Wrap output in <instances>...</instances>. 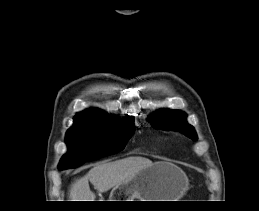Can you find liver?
Here are the masks:
<instances>
[{
  "label": "liver",
  "mask_w": 259,
  "mask_h": 211,
  "mask_svg": "<svg viewBox=\"0 0 259 211\" xmlns=\"http://www.w3.org/2000/svg\"><path fill=\"white\" fill-rule=\"evenodd\" d=\"M152 164L151 160L143 157H128L98 164L72 183L69 190V198L72 199L70 201H95L96 196L90 190L89 182L99 193H103Z\"/></svg>",
  "instance_id": "obj_1"
}]
</instances>
